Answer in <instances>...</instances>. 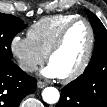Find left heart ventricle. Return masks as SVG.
<instances>
[{
    "label": "left heart ventricle",
    "mask_w": 107,
    "mask_h": 107,
    "mask_svg": "<svg viewBox=\"0 0 107 107\" xmlns=\"http://www.w3.org/2000/svg\"><path fill=\"white\" fill-rule=\"evenodd\" d=\"M89 43V31L84 23H77L68 32L64 44L50 59L59 77L74 72L81 64Z\"/></svg>",
    "instance_id": "b2bd125f"
}]
</instances>
